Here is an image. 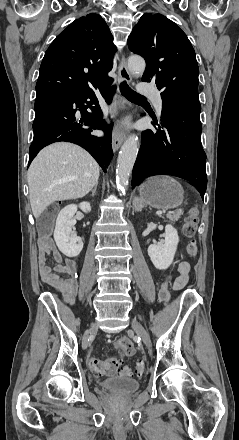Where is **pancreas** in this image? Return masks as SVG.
Masks as SVG:
<instances>
[{
    "label": "pancreas",
    "instance_id": "obj_1",
    "mask_svg": "<svg viewBox=\"0 0 239 440\" xmlns=\"http://www.w3.org/2000/svg\"><path fill=\"white\" fill-rule=\"evenodd\" d=\"M182 214H183L182 210H175V212H171V214H166V218H168L170 222H176V220H179Z\"/></svg>",
    "mask_w": 239,
    "mask_h": 440
}]
</instances>
